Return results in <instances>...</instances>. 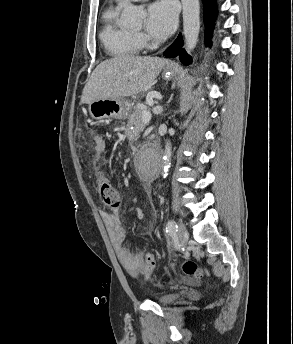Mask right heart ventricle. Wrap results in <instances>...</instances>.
Listing matches in <instances>:
<instances>
[{"mask_svg": "<svg viewBox=\"0 0 293 344\" xmlns=\"http://www.w3.org/2000/svg\"><path fill=\"white\" fill-rule=\"evenodd\" d=\"M119 6L110 5L102 13L100 39L106 51L116 57H133L139 55L142 45L137 34L120 26L117 22Z\"/></svg>", "mask_w": 293, "mask_h": 344, "instance_id": "obj_1", "label": "right heart ventricle"}]
</instances>
